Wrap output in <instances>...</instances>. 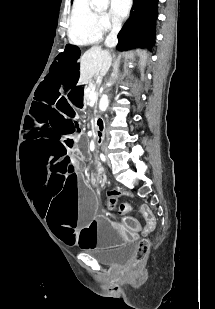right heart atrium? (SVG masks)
<instances>
[{
    "label": "right heart atrium",
    "mask_w": 215,
    "mask_h": 309,
    "mask_svg": "<svg viewBox=\"0 0 215 309\" xmlns=\"http://www.w3.org/2000/svg\"><path fill=\"white\" fill-rule=\"evenodd\" d=\"M101 18L105 29H116L118 27V25L112 21L111 14H102Z\"/></svg>",
    "instance_id": "right-heart-atrium-1"
}]
</instances>
